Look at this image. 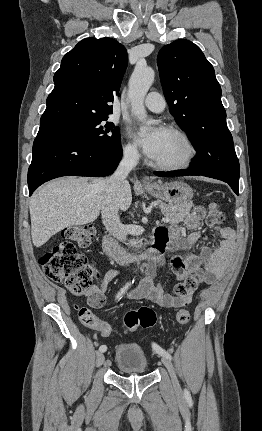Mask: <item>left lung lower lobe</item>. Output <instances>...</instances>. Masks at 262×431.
I'll return each instance as SVG.
<instances>
[{"label":"left lung lower lobe","mask_w":262,"mask_h":431,"mask_svg":"<svg viewBox=\"0 0 262 431\" xmlns=\"http://www.w3.org/2000/svg\"><path fill=\"white\" fill-rule=\"evenodd\" d=\"M156 176H160V177H174V176H184V175H202L194 170H184V171H174V172H155L154 173ZM204 176V175H202ZM230 185V187L233 189V191L239 195V183H232L229 182L228 183Z\"/></svg>","instance_id":"1"}]
</instances>
